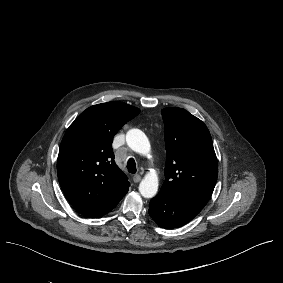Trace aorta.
Returning a JSON list of instances; mask_svg holds the SVG:
<instances>
[{"label":"aorta","instance_id":"762f6f07","mask_svg":"<svg viewBox=\"0 0 283 283\" xmlns=\"http://www.w3.org/2000/svg\"><path fill=\"white\" fill-rule=\"evenodd\" d=\"M128 146L138 154L146 155L150 151V142L139 129H130L126 134ZM158 177L155 173H148L142 179L139 185V192L144 198H152L158 191Z\"/></svg>","mask_w":283,"mask_h":283}]
</instances>
